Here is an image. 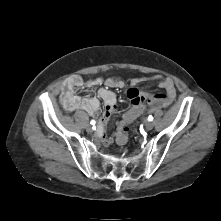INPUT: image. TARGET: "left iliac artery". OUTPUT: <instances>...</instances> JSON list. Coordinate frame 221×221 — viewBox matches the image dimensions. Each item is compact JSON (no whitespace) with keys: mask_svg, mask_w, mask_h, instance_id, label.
Instances as JSON below:
<instances>
[{"mask_svg":"<svg viewBox=\"0 0 221 221\" xmlns=\"http://www.w3.org/2000/svg\"><path fill=\"white\" fill-rule=\"evenodd\" d=\"M148 120H149V121H152V120H153V116H152V115H149Z\"/></svg>","mask_w":221,"mask_h":221,"instance_id":"1","label":"left iliac artery"}]
</instances>
